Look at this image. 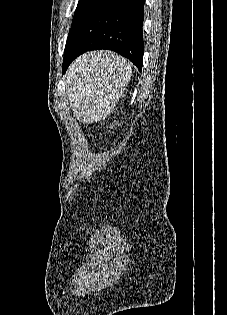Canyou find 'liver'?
<instances>
[{"label": "liver", "instance_id": "6515ba94", "mask_svg": "<svg viewBox=\"0 0 227 315\" xmlns=\"http://www.w3.org/2000/svg\"><path fill=\"white\" fill-rule=\"evenodd\" d=\"M99 54H103L104 52H98ZM106 53H108V52H106ZM110 53V52H109Z\"/></svg>", "mask_w": 227, "mask_h": 315}]
</instances>
